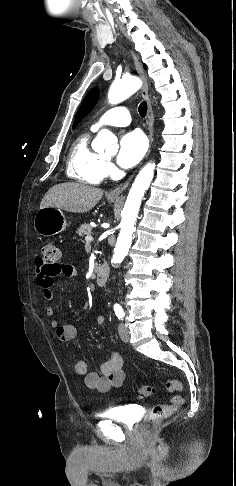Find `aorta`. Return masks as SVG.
Masks as SVG:
<instances>
[{
  "mask_svg": "<svg viewBox=\"0 0 236 486\" xmlns=\"http://www.w3.org/2000/svg\"><path fill=\"white\" fill-rule=\"evenodd\" d=\"M141 86V81L137 77H129L114 82L108 92V100L111 104H117L132 94H134ZM116 137L107 129L101 130L92 143L95 151L99 152L104 149H117ZM154 163H148L144 166L137 175L132 187L129 191L127 200L122 211V220L120 223V234L117 239V244L114 249L112 263L118 264L123 261L128 253L129 246L132 241V236L135 231V221L139 212L142 197L145 191L150 186L154 176Z\"/></svg>",
  "mask_w": 236,
  "mask_h": 486,
  "instance_id": "obj_1",
  "label": "aorta"
}]
</instances>
